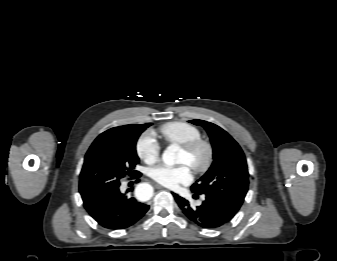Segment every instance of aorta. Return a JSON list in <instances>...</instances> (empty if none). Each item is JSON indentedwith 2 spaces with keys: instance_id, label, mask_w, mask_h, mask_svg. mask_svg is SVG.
<instances>
[{
  "instance_id": "762f6f07",
  "label": "aorta",
  "mask_w": 337,
  "mask_h": 261,
  "mask_svg": "<svg viewBox=\"0 0 337 261\" xmlns=\"http://www.w3.org/2000/svg\"><path fill=\"white\" fill-rule=\"evenodd\" d=\"M180 147L177 144H172L163 152L162 159L167 165H174L178 162V153ZM153 195V188L148 183H140L135 188V196L141 201L149 200Z\"/></svg>"
}]
</instances>
